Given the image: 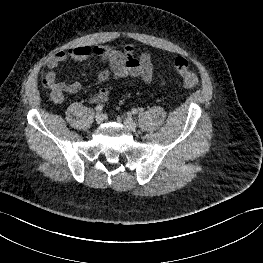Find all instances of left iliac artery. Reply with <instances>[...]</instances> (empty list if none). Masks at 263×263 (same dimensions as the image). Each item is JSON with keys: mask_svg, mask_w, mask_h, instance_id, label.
Returning <instances> with one entry per match:
<instances>
[{"mask_svg": "<svg viewBox=\"0 0 263 263\" xmlns=\"http://www.w3.org/2000/svg\"><path fill=\"white\" fill-rule=\"evenodd\" d=\"M133 114H137L138 113V110L133 108L132 111H131Z\"/></svg>", "mask_w": 263, "mask_h": 263, "instance_id": "left-iliac-artery-1", "label": "left iliac artery"}]
</instances>
